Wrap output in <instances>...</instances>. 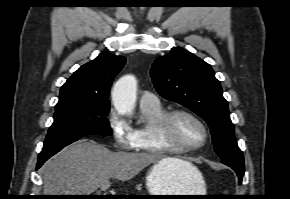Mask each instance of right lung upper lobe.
<instances>
[{
    "mask_svg": "<svg viewBox=\"0 0 290 199\" xmlns=\"http://www.w3.org/2000/svg\"><path fill=\"white\" fill-rule=\"evenodd\" d=\"M126 62L125 57L102 52L81 66L61 87L56 108L69 105L109 104L111 83Z\"/></svg>",
    "mask_w": 290,
    "mask_h": 199,
    "instance_id": "obj_1",
    "label": "right lung upper lobe"
}]
</instances>
